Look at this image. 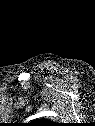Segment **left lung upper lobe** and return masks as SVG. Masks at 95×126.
Masks as SVG:
<instances>
[{"label": "left lung upper lobe", "mask_w": 95, "mask_h": 126, "mask_svg": "<svg viewBox=\"0 0 95 126\" xmlns=\"http://www.w3.org/2000/svg\"><path fill=\"white\" fill-rule=\"evenodd\" d=\"M54 124L47 119H38L32 122V126H53Z\"/></svg>", "instance_id": "obj_1"}]
</instances>
